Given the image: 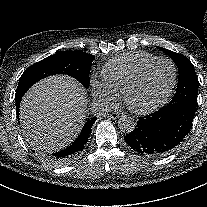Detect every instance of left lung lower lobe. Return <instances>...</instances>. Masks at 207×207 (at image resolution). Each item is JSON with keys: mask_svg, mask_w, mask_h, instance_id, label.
Returning a JSON list of instances; mask_svg holds the SVG:
<instances>
[{"mask_svg": "<svg viewBox=\"0 0 207 207\" xmlns=\"http://www.w3.org/2000/svg\"><path fill=\"white\" fill-rule=\"evenodd\" d=\"M194 115L195 109L189 106L168 104L152 114L139 117L134 131L124 139L143 156H164L189 133Z\"/></svg>", "mask_w": 207, "mask_h": 207, "instance_id": "obj_1", "label": "left lung lower lobe"}]
</instances>
